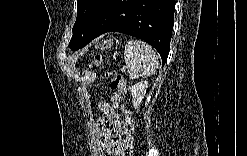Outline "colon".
<instances>
[{
    "mask_svg": "<svg viewBox=\"0 0 247 156\" xmlns=\"http://www.w3.org/2000/svg\"><path fill=\"white\" fill-rule=\"evenodd\" d=\"M101 64H102V57L100 55L95 56L94 59L92 60V65L99 66ZM106 78L110 82V88L113 91H115V93L118 96L119 101L121 102L123 95L125 93V86H124V82L122 80L121 75L115 71H107ZM122 111H123L124 118H125V124L128 130L133 134L135 131V125H134L132 116L130 112L127 109H125L123 106H122ZM130 152H131V149L126 155H128Z\"/></svg>",
    "mask_w": 247,
    "mask_h": 156,
    "instance_id": "colon-1",
    "label": "colon"
}]
</instances>
